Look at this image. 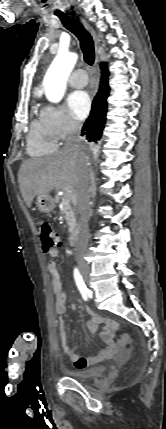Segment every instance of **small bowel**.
<instances>
[{
  "instance_id": "small-bowel-1",
  "label": "small bowel",
  "mask_w": 166,
  "mask_h": 429,
  "mask_svg": "<svg viewBox=\"0 0 166 429\" xmlns=\"http://www.w3.org/2000/svg\"><path fill=\"white\" fill-rule=\"evenodd\" d=\"M48 254L52 258H56L59 254V250L54 248L50 250ZM48 271L52 276V292L55 301V310L57 314L63 315L66 310L68 292L62 285L58 266L55 261H50L48 263ZM86 311L89 314V319L86 322V328L90 333L96 332L98 327L103 325V329L100 333V339L105 346L103 349L92 356H80L76 350L68 344L66 325L63 318L60 317L58 319V327L61 346L65 355L78 369L88 368L112 357H124L128 353L127 350L124 347L117 345L114 340L117 329L115 322L100 316L99 314L92 311L89 307H86Z\"/></svg>"
}]
</instances>
